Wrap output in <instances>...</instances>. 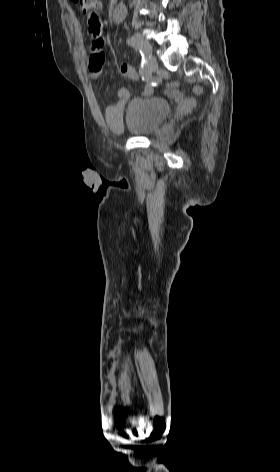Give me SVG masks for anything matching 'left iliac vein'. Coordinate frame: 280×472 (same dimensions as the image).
Returning <instances> with one entry per match:
<instances>
[{
    "mask_svg": "<svg viewBox=\"0 0 280 472\" xmlns=\"http://www.w3.org/2000/svg\"><path fill=\"white\" fill-rule=\"evenodd\" d=\"M147 47H148V53H147V57H146V61H145V66H146V69L149 71V72H153L155 71L157 68H158V63H157V60L156 58L152 55V49H151V46L142 41Z\"/></svg>",
    "mask_w": 280,
    "mask_h": 472,
    "instance_id": "4c4485c4",
    "label": "left iliac vein"
}]
</instances>
